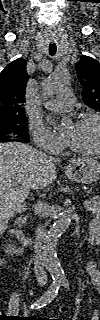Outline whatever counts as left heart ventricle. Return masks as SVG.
Returning a JSON list of instances; mask_svg holds the SVG:
<instances>
[{"instance_id":"1","label":"left heart ventricle","mask_w":100,"mask_h":320,"mask_svg":"<svg viewBox=\"0 0 100 320\" xmlns=\"http://www.w3.org/2000/svg\"><path fill=\"white\" fill-rule=\"evenodd\" d=\"M65 137L82 149H94L98 144L99 126L95 120H87L79 124H70L65 130Z\"/></svg>"}]
</instances>
